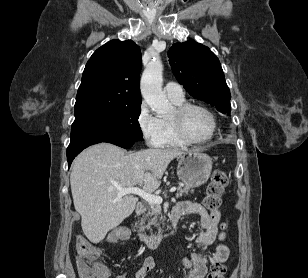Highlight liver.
Instances as JSON below:
<instances>
[{
	"label": "liver",
	"instance_id": "6515ba94",
	"mask_svg": "<svg viewBox=\"0 0 308 278\" xmlns=\"http://www.w3.org/2000/svg\"><path fill=\"white\" fill-rule=\"evenodd\" d=\"M178 149H145L126 153L110 143H99L82 151L70 175L76 211L81 215L85 236L98 243L134 211L138 198L118 197L117 187L140 185L155 191L169 163L183 155Z\"/></svg>",
	"mask_w": 308,
	"mask_h": 278
}]
</instances>
